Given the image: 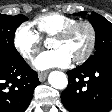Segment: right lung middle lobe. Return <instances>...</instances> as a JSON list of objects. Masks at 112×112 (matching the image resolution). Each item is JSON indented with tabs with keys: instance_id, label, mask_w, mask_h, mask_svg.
Instances as JSON below:
<instances>
[{
	"instance_id": "obj_1",
	"label": "right lung middle lobe",
	"mask_w": 112,
	"mask_h": 112,
	"mask_svg": "<svg viewBox=\"0 0 112 112\" xmlns=\"http://www.w3.org/2000/svg\"><path fill=\"white\" fill-rule=\"evenodd\" d=\"M26 20L24 15L0 14V63L21 57L14 46V34L17 27Z\"/></svg>"
}]
</instances>
